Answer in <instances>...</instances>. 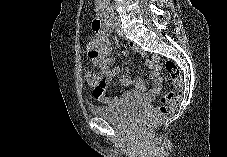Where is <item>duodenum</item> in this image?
Masks as SVG:
<instances>
[{"label":"duodenum","mask_w":227,"mask_h":157,"mask_svg":"<svg viewBox=\"0 0 227 157\" xmlns=\"http://www.w3.org/2000/svg\"><path fill=\"white\" fill-rule=\"evenodd\" d=\"M107 25V17L104 14H101L97 17L95 25H91V30H106Z\"/></svg>","instance_id":"obj_1"}]
</instances>
